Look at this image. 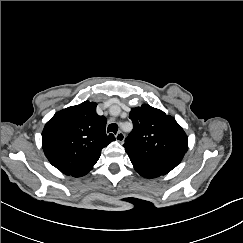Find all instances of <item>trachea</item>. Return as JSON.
I'll use <instances>...</instances> for the list:
<instances>
[{
  "instance_id": "1",
  "label": "trachea",
  "mask_w": 243,
  "mask_h": 243,
  "mask_svg": "<svg viewBox=\"0 0 243 243\" xmlns=\"http://www.w3.org/2000/svg\"><path fill=\"white\" fill-rule=\"evenodd\" d=\"M117 131H118V125L115 123L110 124L107 128V132H113L116 134Z\"/></svg>"
}]
</instances>
